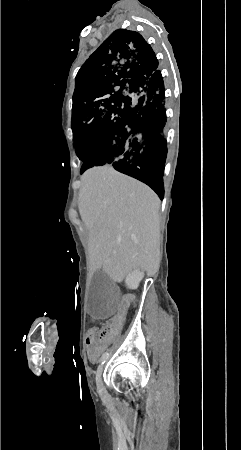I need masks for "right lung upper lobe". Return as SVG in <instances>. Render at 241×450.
I'll return each mask as SVG.
<instances>
[{"label":"right lung upper lobe","mask_w":241,"mask_h":450,"mask_svg":"<svg viewBox=\"0 0 241 450\" xmlns=\"http://www.w3.org/2000/svg\"><path fill=\"white\" fill-rule=\"evenodd\" d=\"M158 70L151 46L137 32L114 31L80 68L76 79L113 85L124 95L144 97L146 77Z\"/></svg>","instance_id":"obj_1"}]
</instances>
